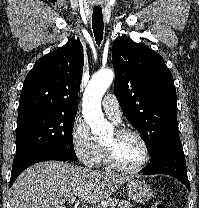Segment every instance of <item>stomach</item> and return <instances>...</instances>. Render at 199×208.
I'll return each instance as SVG.
<instances>
[{"instance_id":"obj_1","label":"stomach","mask_w":199,"mask_h":208,"mask_svg":"<svg viewBox=\"0 0 199 208\" xmlns=\"http://www.w3.org/2000/svg\"><path fill=\"white\" fill-rule=\"evenodd\" d=\"M127 193L128 197L137 203H144L152 197L150 186L141 180L128 181Z\"/></svg>"}]
</instances>
